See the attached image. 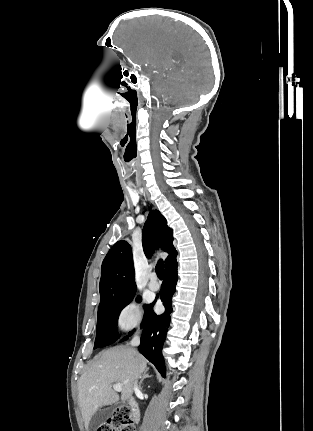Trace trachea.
Returning a JSON list of instances; mask_svg holds the SVG:
<instances>
[{
	"label": "trachea",
	"instance_id": "3493384b",
	"mask_svg": "<svg viewBox=\"0 0 313 431\" xmlns=\"http://www.w3.org/2000/svg\"><path fill=\"white\" fill-rule=\"evenodd\" d=\"M156 274L159 279H163L164 277V263L162 260H159L155 267Z\"/></svg>",
	"mask_w": 313,
	"mask_h": 431
}]
</instances>
